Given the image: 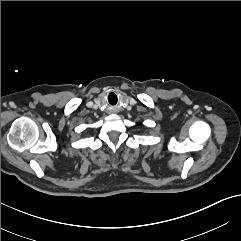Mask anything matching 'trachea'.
<instances>
[{
  "label": "trachea",
  "mask_w": 241,
  "mask_h": 241,
  "mask_svg": "<svg viewBox=\"0 0 241 241\" xmlns=\"http://www.w3.org/2000/svg\"><path fill=\"white\" fill-rule=\"evenodd\" d=\"M107 101H108V103L111 104V105H116V104H118V102H119V97H118V95L115 94V93H110V94H108V96H107Z\"/></svg>",
  "instance_id": "trachea-1"
}]
</instances>
